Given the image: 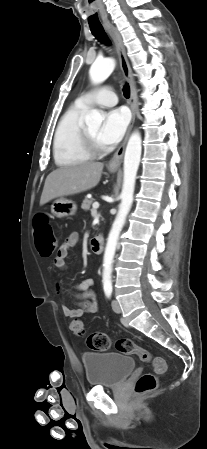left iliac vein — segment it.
I'll list each match as a JSON object with an SVG mask.
<instances>
[{"mask_svg": "<svg viewBox=\"0 0 207 449\" xmlns=\"http://www.w3.org/2000/svg\"><path fill=\"white\" fill-rule=\"evenodd\" d=\"M112 309H113V311L115 313H120L121 312V308H120V305H119L117 300H113L112 301Z\"/></svg>", "mask_w": 207, "mask_h": 449, "instance_id": "obj_1", "label": "left iliac vein"}]
</instances>
